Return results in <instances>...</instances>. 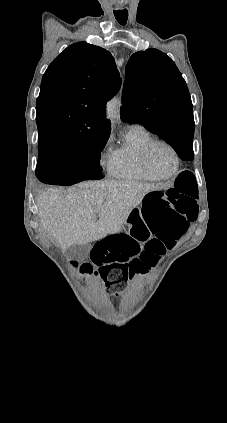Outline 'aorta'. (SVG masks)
<instances>
[{"label": "aorta", "mask_w": 227, "mask_h": 423, "mask_svg": "<svg viewBox=\"0 0 227 423\" xmlns=\"http://www.w3.org/2000/svg\"><path fill=\"white\" fill-rule=\"evenodd\" d=\"M119 108L120 102L117 98H113L107 103L106 117L110 121V123H113L116 119H118Z\"/></svg>", "instance_id": "obj_1"}]
</instances>
